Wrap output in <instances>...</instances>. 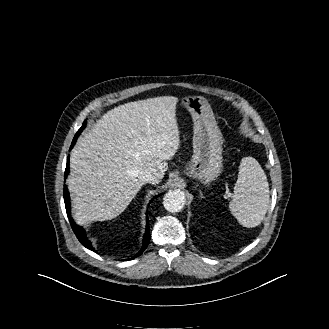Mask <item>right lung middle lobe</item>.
I'll return each mask as SVG.
<instances>
[{
	"mask_svg": "<svg viewBox=\"0 0 329 329\" xmlns=\"http://www.w3.org/2000/svg\"><path fill=\"white\" fill-rule=\"evenodd\" d=\"M85 125H86V121L83 122L82 127H81V128L78 130V132L75 134L74 139H73L71 145L75 144V141H76L77 137L79 136L80 132L85 128Z\"/></svg>",
	"mask_w": 329,
	"mask_h": 329,
	"instance_id": "1",
	"label": "right lung middle lobe"
}]
</instances>
